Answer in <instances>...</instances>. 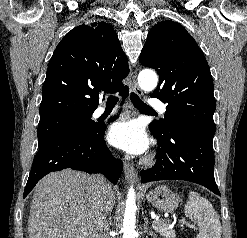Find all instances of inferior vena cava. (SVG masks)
<instances>
[{
    "instance_id": "602c4592",
    "label": "inferior vena cava",
    "mask_w": 247,
    "mask_h": 238,
    "mask_svg": "<svg viewBox=\"0 0 247 238\" xmlns=\"http://www.w3.org/2000/svg\"><path fill=\"white\" fill-rule=\"evenodd\" d=\"M94 180V197H93V224L94 230L92 238H108L107 221L104 215V202L106 199L107 183L103 175H96Z\"/></svg>"
}]
</instances>
